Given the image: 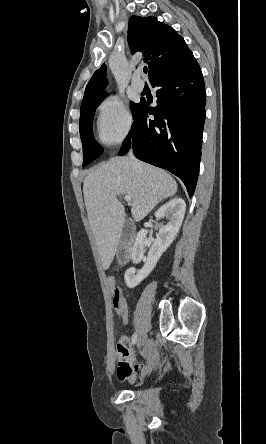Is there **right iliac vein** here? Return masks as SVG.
I'll return each instance as SVG.
<instances>
[{"instance_id":"right-iliac-vein-1","label":"right iliac vein","mask_w":266,"mask_h":444,"mask_svg":"<svg viewBox=\"0 0 266 444\" xmlns=\"http://www.w3.org/2000/svg\"><path fill=\"white\" fill-rule=\"evenodd\" d=\"M145 341H146V336L143 334L137 340L138 349H140L144 345Z\"/></svg>"}]
</instances>
